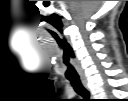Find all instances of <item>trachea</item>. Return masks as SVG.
Returning a JSON list of instances; mask_svg holds the SVG:
<instances>
[{"instance_id": "trachea-1", "label": "trachea", "mask_w": 128, "mask_h": 101, "mask_svg": "<svg viewBox=\"0 0 128 101\" xmlns=\"http://www.w3.org/2000/svg\"><path fill=\"white\" fill-rule=\"evenodd\" d=\"M66 78L70 81L72 87L76 91L77 94H79L81 97H83V101L89 100V92L88 90L83 86L78 73L73 65L70 63H66Z\"/></svg>"}]
</instances>
